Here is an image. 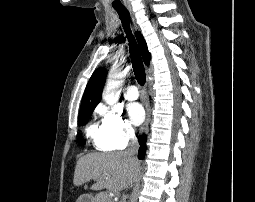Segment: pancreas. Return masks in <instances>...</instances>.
Instances as JSON below:
<instances>
[{
	"instance_id": "pancreas-1",
	"label": "pancreas",
	"mask_w": 255,
	"mask_h": 202,
	"mask_svg": "<svg viewBox=\"0 0 255 202\" xmlns=\"http://www.w3.org/2000/svg\"><path fill=\"white\" fill-rule=\"evenodd\" d=\"M94 202H113L112 198L105 192L98 193L95 198Z\"/></svg>"
}]
</instances>
